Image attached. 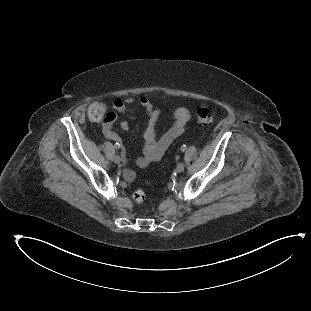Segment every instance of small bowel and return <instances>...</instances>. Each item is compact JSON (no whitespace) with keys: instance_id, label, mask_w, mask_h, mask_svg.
<instances>
[{"instance_id":"small-bowel-1","label":"small bowel","mask_w":311,"mask_h":311,"mask_svg":"<svg viewBox=\"0 0 311 311\" xmlns=\"http://www.w3.org/2000/svg\"><path fill=\"white\" fill-rule=\"evenodd\" d=\"M133 102V97H127L125 99H115L111 103L112 108L123 116V120L120 123L121 131L129 129L130 124L127 114ZM138 104L147 113L148 125L144 133L143 153L136 158L135 162L137 166L145 168L152 162L160 160L173 141L185 132L190 113L185 108H178L175 111L172 126L158 138L157 123L161 109L147 97H141L138 100ZM103 133L109 139H120V135L112 130L111 125H104Z\"/></svg>"}]
</instances>
